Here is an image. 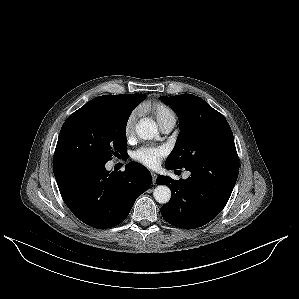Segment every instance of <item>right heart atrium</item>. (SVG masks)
Here are the masks:
<instances>
[{"label": "right heart atrium", "mask_w": 299, "mask_h": 299, "mask_svg": "<svg viewBox=\"0 0 299 299\" xmlns=\"http://www.w3.org/2000/svg\"><path fill=\"white\" fill-rule=\"evenodd\" d=\"M137 118H138V112L136 110L130 112L126 118L124 124V132H125V136L128 139L134 135Z\"/></svg>", "instance_id": "obj_1"}]
</instances>
